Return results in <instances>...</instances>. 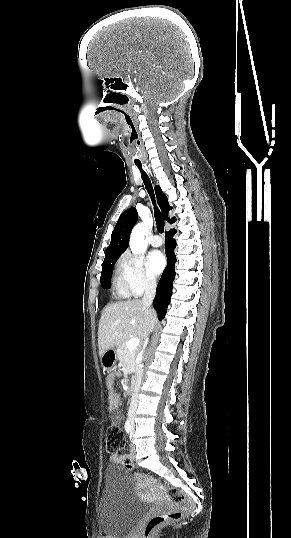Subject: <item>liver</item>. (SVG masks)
Returning a JSON list of instances; mask_svg holds the SVG:
<instances>
[{
  "label": "liver",
  "instance_id": "obj_1",
  "mask_svg": "<svg viewBox=\"0 0 291 538\" xmlns=\"http://www.w3.org/2000/svg\"><path fill=\"white\" fill-rule=\"evenodd\" d=\"M157 316L142 300H128L108 304L102 311L98 327L99 355L114 348L130 336L144 340Z\"/></svg>",
  "mask_w": 291,
  "mask_h": 538
}]
</instances>
